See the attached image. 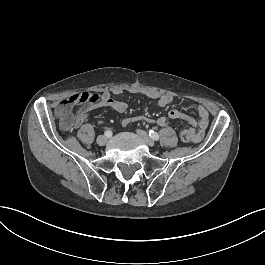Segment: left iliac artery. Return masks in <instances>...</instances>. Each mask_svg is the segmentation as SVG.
<instances>
[{"label":"left iliac artery","mask_w":265,"mask_h":265,"mask_svg":"<svg viewBox=\"0 0 265 265\" xmlns=\"http://www.w3.org/2000/svg\"><path fill=\"white\" fill-rule=\"evenodd\" d=\"M149 135H150V137H151L153 140H155V141L159 140V135H158L157 132H155V131H153V130H150V131H149Z\"/></svg>","instance_id":"obj_1"}]
</instances>
